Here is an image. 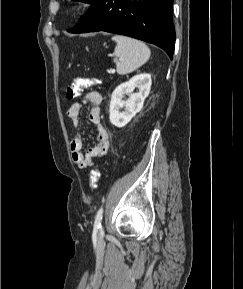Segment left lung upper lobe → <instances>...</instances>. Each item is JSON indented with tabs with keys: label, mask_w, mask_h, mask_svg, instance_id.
Masks as SVG:
<instances>
[{
	"label": "left lung upper lobe",
	"mask_w": 243,
	"mask_h": 289,
	"mask_svg": "<svg viewBox=\"0 0 243 289\" xmlns=\"http://www.w3.org/2000/svg\"><path fill=\"white\" fill-rule=\"evenodd\" d=\"M76 1H82V2H88V3H92L93 0H76Z\"/></svg>",
	"instance_id": "5c2ea615"
}]
</instances>
